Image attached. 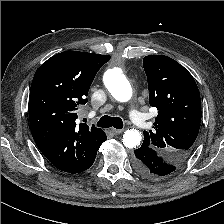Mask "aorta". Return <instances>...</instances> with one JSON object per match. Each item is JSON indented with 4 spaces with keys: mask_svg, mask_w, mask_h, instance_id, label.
<instances>
[{
    "mask_svg": "<svg viewBox=\"0 0 224 224\" xmlns=\"http://www.w3.org/2000/svg\"><path fill=\"white\" fill-rule=\"evenodd\" d=\"M104 84L111 95L119 102H127L132 97V87L119 68L109 69L104 74ZM142 135L139 130L128 129L123 134V144L127 148L140 145Z\"/></svg>",
    "mask_w": 224,
    "mask_h": 224,
    "instance_id": "762f6f07",
    "label": "aorta"
}]
</instances>
